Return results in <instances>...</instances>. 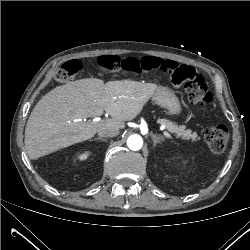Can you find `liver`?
Listing matches in <instances>:
<instances>
[{"label":"liver","instance_id":"obj_1","mask_svg":"<svg viewBox=\"0 0 250 250\" xmlns=\"http://www.w3.org/2000/svg\"><path fill=\"white\" fill-rule=\"evenodd\" d=\"M158 86L131 80L86 78L58 86L33 108L25 128V148L31 159L91 139L99 130L123 129L135 119ZM111 119L92 122L85 118Z\"/></svg>","mask_w":250,"mask_h":250}]
</instances>
